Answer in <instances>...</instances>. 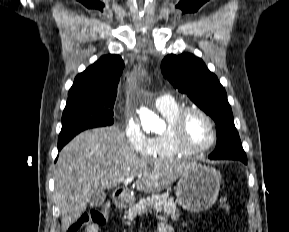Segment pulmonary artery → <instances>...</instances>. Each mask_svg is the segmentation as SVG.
<instances>
[{"instance_id": "1", "label": "pulmonary artery", "mask_w": 289, "mask_h": 232, "mask_svg": "<svg viewBox=\"0 0 289 232\" xmlns=\"http://www.w3.org/2000/svg\"><path fill=\"white\" fill-rule=\"evenodd\" d=\"M172 100L173 98L169 95H161L155 100V106L156 108H162L168 105Z\"/></svg>"}]
</instances>
